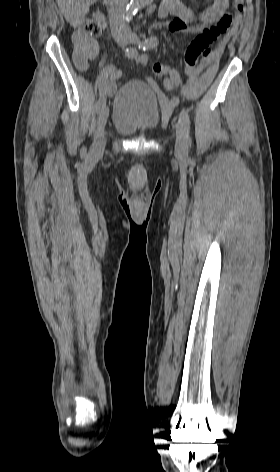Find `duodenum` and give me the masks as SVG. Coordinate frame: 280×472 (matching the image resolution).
Listing matches in <instances>:
<instances>
[{
    "label": "duodenum",
    "instance_id": "410a0bca",
    "mask_svg": "<svg viewBox=\"0 0 280 472\" xmlns=\"http://www.w3.org/2000/svg\"><path fill=\"white\" fill-rule=\"evenodd\" d=\"M111 2H112V0H104V3H105L106 5L111 4ZM158 14H159V17L163 18V17H165V16L167 15V10H166L165 8H163V7L160 6V9H159V13H158Z\"/></svg>",
    "mask_w": 280,
    "mask_h": 472
}]
</instances>
